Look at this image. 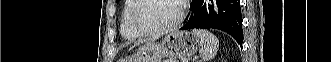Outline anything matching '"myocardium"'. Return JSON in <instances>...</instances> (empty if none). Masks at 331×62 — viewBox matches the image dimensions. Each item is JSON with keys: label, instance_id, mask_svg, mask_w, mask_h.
Returning a JSON list of instances; mask_svg holds the SVG:
<instances>
[{"label": "myocardium", "instance_id": "1", "mask_svg": "<svg viewBox=\"0 0 331 62\" xmlns=\"http://www.w3.org/2000/svg\"><path fill=\"white\" fill-rule=\"evenodd\" d=\"M146 0H135V5L132 9L131 12V24L133 28L141 35L144 36H154V35H160L167 33L169 31H172L176 29L182 22L184 15H185V10H186V5L184 0H176L178 5H179V13L177 18L169 25L164 26V27H159V28H148L145 27L138 19V12L140 8L143 6V3Z\"/></svg>", "mask_w": 331, "mask_h": 62}]
</instances>
